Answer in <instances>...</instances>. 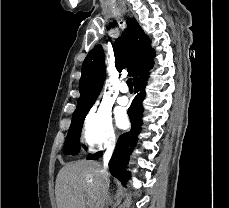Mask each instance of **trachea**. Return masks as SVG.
<instances>
[{
    "instance_id": "3493384b",
    "label": "trachea",
    "mask_w": 229,
    "mask_h": 208,
    "mask_svg": "<svg viewBox=\"0 0 229 208\" xmlns=\"http://www.w3.org/2000/svg\"><path fill=\"white\" fill-rule=\"evenodd\" d=\"M127 85L129 87V90L130 91H133V81H132V78H128Z\"/></svg>"
}]
</instances>
